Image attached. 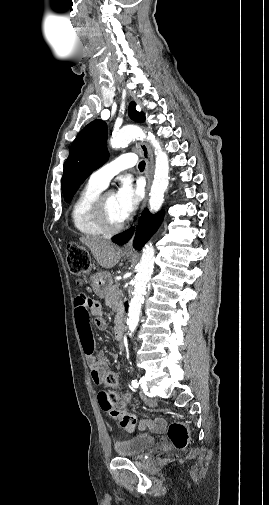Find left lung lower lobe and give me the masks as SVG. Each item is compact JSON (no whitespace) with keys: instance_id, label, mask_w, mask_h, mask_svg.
Segmentation results:
<instances>
[{"instance_id":"obj_1","label":"left lung lower lobe","mask_w":269,"mask_h":505,"mask_svg":"<svg viewBox=\"0 0 269 505\" xmlns=\"http://www.w3.org/2000/svg\"><path fill=\"white\" fill-rule=\"evenodd\" d=\"M162 218L163 214L161 213L151 215L148 210H144L137 227V232L133 243L134 248L141 250L146 241H148L149 238L158 229ZM133 233L134 227L115 237L113 239V242L120 245L125 244L132 237Z\"/></svg>"}]
</instances>
